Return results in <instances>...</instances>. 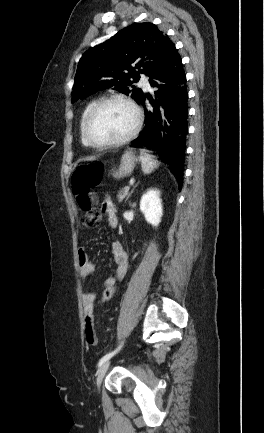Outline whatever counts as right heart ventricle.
<instances>
[{
    "mask_svg": "<svg viewBox=\"0 0 264 433\" xmlns=\"http://www.w3.org/2000/svg\"><path fill=\"white\" fill-rule=\"evenodd\" d=\"M94 103H95L94 100L88 102V103L86 104V106L84 107V109H83V111H82V114H81V117H80L79 130H80L81 141H82V143H83L84 145H87V142L85 141V139H84V137H83V134H82V124H83V120H84L85 115L87 114L88 110L92 107V105H93Z\"/></svg>",
    "mask_w": 264,
    "mask_h": 433,
    "instance_id": "e07e8e85",
    "label": "right heart ventricle"
}]
</instances>
